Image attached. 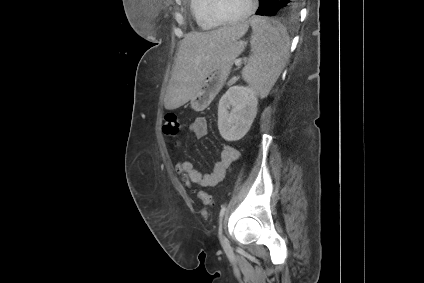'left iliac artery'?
<instances>
[{"mask_svg":"<svg viewBox=\"0 0 424 283\" xmlns=\"http://www.w3.org/2000/svg\"><path fill=\"white\" fill-rule=\"evenodd\" d=\"M225 211H226V205L224 204V205H222L221 210H220V214H219V221H220V223H221V221L223 219V216L225 214Z\"/></svg>","mask_w":424,"mask_h":283,"instance_id":"44dca946","label":"left iliac artery"}]
</instances>
